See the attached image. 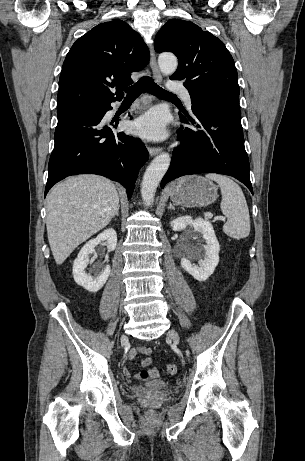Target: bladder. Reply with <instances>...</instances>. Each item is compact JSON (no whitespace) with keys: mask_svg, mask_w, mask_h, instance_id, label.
<instances>
[{"mask_svg":"<svg viewBox=\"0 0 305 461\" xmlns=\"http://www.w3.org/2000/svg\"><path fill=\"white\" fill-rule=\"evenodd\" d=\"M145 387L151 391L165 390L170 387L168 382L163 380H152L145 384Z\"/></svg>","mask_w":305,"mask_h":461,"instance_id":"1","label":"bladder"}]
</instances>
